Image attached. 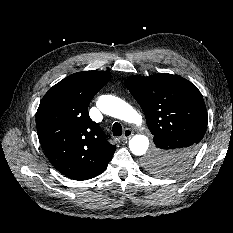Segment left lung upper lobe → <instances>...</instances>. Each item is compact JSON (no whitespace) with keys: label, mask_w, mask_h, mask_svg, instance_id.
<instances>
[{"label":"left lung upper lobe","mask_w":233,"mask_h":233,"mask_svg":"<svg viewBox=\"0 0 233 233\" xmlns=\"http://www.w3.org/2000/svg\"><path fill=\"white\" fill-rule=\"evenodd\" d=\"M125 85L143 109L147 126L154 136L182 135L192 140L197 153L207 128V111L197 87L172 74L134 75L125 80ZM171 156L155 144L144 159V166L155 174L170 175L180 172L190 163L180 167L168 161Z\"/></svg>","instance_id":"obj_1"}]
</instances>
